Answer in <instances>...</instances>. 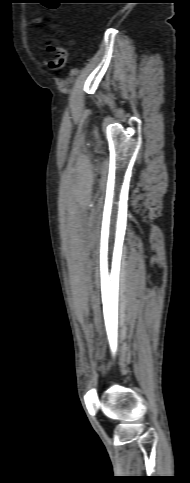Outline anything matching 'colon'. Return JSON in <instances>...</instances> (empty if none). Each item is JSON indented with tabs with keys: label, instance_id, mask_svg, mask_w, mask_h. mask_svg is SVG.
I'll list each match as a JSON object with an SVG mask.
<instances>
[{
	"label": "colon",
	"instance_id": "colon-1",
	"mask_svg": "<svg viewBox=\"0 0 190 483\" xmlns=\"http://www.w3.org/2000/svg\"><path fill=\"white\" fill-rule=\"evenodd\" d=\"M48 51L52 57L49 61V67L51 70L57 71L63 69L68 60L67 48L57 39H54L48 45Z\"/></svg>",
	"mask_w": 190,
	"mask_h": 483
}]
</instances>
